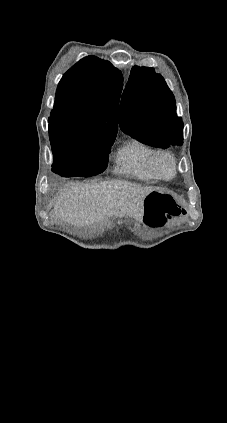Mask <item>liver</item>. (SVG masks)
Segmentation results:
<instances>
[{
	"instance_id": "6515ba94",
	"label": "liver",
	"mask_w": 227,
	"mask_h": 423,
	"mask_svg": "<svg viewBox=\"0 0 227 423\" xmlns=\"http://www.w3.org/2000/svg\"><path fill=\"white\" fill-rule=\"evenodd\" d=\"M152 192L132 182H101V184H71L64 188L54 206L53 217L71 225H90L105 221L112 215H143L146 196Z\"/></svg>"
}]
</instances>
